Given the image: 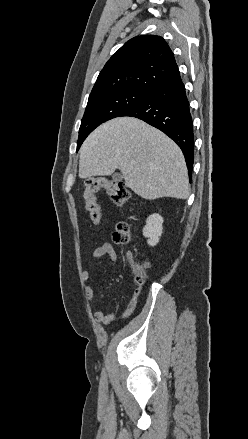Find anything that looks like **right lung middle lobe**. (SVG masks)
Wrapping results in <instances>:
<instances>
[{"mask_svg": "<svg viewBox=\"0 0 248 439\" xmlns=\"http://www.w3.org/2000/svg\"><path fill=\"white\" fill-rule=\"evenodd\" d=\"M148 93L137 90H121L88 100L79 129L77 151L86 137L100 124L121 116L142 101Z\"/></svg>", "mask_w": 248, "mask_h": 439, "instance_id": "1", "label": "right lung middle lobe"}]
</instances>
